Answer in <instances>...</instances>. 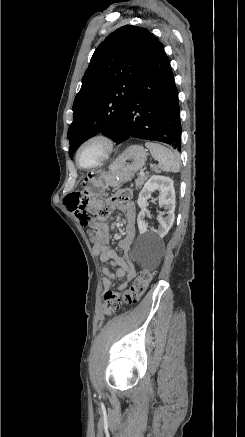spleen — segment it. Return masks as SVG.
Masks as SVG:
<instances>
[{
    "label": "spleen",
    "mask_w": 245,
    "mask_h": 437,
    "mask_svg": "<svg viewBox=\"0 0 245 437\" xmlns=\"http://www.w3.org/2000/svg\"><path fill=\"white\" fill-rule=\"evenodd\" d=\"M152 157L158 161V168L166 172H179L180 159L176 153L155 142H145Z\"/></svg>",
    "instance_id": "3e777b00"
}]
</instances>
